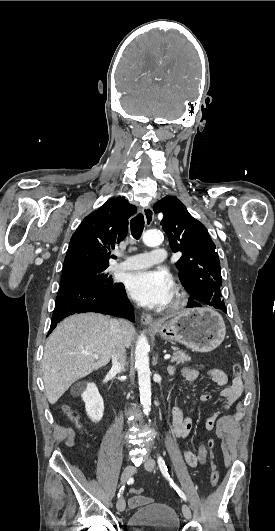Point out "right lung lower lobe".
<instances>
[{
  "mask_svg": "<svg viewBox=\"0 0 275 531\" xmlns=\"http://www.w3.org/2000/svg\"><path fill=\"white\" fill-rule=\"evenodd\" d=\"M133 306L121 283L104 287L83 280L61 283L48 335L65 317L75 313L97 312L134 320Z\"/></svg>",
  "mask_w": 275,
  "mask_h": 531,
  "instance_id": "98d812e1",
  "label": "right lung lower lobe"
}]
</instances>
